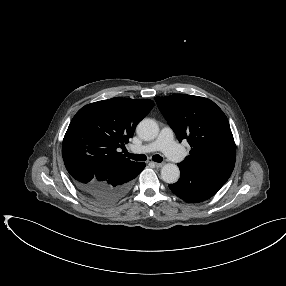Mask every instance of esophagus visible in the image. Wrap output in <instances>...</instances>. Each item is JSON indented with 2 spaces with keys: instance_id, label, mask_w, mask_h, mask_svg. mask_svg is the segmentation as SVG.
<instances>
[{
  "instance_id": "obj_1",
  "label": "esophagus",
  "mask_w": 286,
  "mask_h": 286,
  "mask_svg": "<svg viewBox=\"0 0 286 286\" xmlns=\"http://www.w3.org/2000/svg\"><path fill=\"white\" fill-rule=\"evenodd\" d=\"M153 164H154L156 167H162V166H163V163L153 162Z\"/></svg>"
}]
</instances>
